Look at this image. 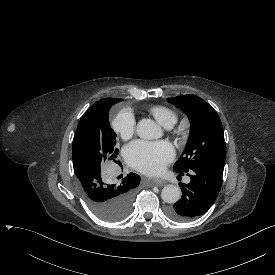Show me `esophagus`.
I'll list each match as a JSON object with an SVG mask.
<instances>
[{
	"instance_id": "34e87169",
	"label": "esophagus",
	"mask_w": 275,
	"mask_h": 275,
	"mask_svg": "<svg viewBox=\"0 0 275 275\" xmlns=\"http://www.w3.org/2000/svg\"><path fill=\"white\" fill-rule=\"evenodd\" d=\"M153 183L156 185V186H163L165 184V181L163 179H154L153 180Z\"/></svg>"
}]
</instances>
